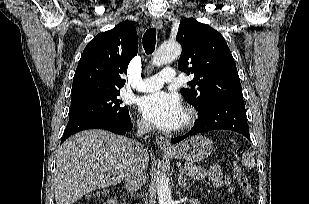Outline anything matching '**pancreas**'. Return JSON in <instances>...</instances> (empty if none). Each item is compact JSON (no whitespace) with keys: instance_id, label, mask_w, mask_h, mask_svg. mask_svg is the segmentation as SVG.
I'll return each instance as SVG.
<instances>
[{"instance_id":"cf45deb5","label":"pancreas","mask_w":309,"mask_h":204,"mask_svg":"<svg viewBox=\"0 0 309 204\" xmlns=\"http://www.w3.org/2000/svg\"><path fill=\"white\" fill-rule=\"evenodd\" d=\"M184 168L186 175L193 179H204L208 174V171L205 170L203 167L197 166L193 163H187Z\"/></svg>"}]
</instances>
